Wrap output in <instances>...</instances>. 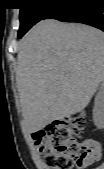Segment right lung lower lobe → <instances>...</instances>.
Here are the masks:
<instances>
[{
    "label": "right lung lower lobe",
    "instance_id": "98d812e1",
    "mask_svg": "<svg viewBox=\"0 0 104 169\" xmlns=\"http://www.w3.org/2000/svg\"><path fill=\"white\" fill-rule=\"evenodd\" d=\"M58 5L45 17L78 22L104 31V0H57Z\"/></svg>",
    "mask_w": 104,
    "mask_h": 169
}]
</instances>
